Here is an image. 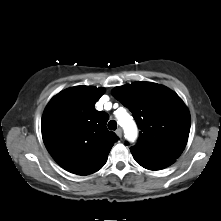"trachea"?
I'll use <instances>...</instances> for the list:
<instances>
[{
  "label": "trachea",
  "mask_w": 221,
  "mask_h": 221,
  "mask_svg": "<svg viewBox=\"0 0 221 221\" xmlns=\"http://www.w3.org/2000/svg\"><path fill=\"white\" fill-rule=\"evenodd\" d=\"M108 128H109V130H116V128H117L116 121H114V120L109 121Z\"/></svg>",
  "instance_id": "1"
}]
</instances>
